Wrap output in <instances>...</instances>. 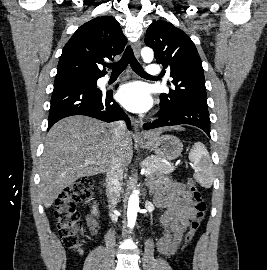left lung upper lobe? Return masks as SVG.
<instances>
[{"instance_id": "5c2ea615", "label": "left lung upper lobe", "mask_w": 267, "mask_h": 270, "mask_svg": "<svg viewBox=\"0 0 267 270\" xmlns=\"http://www.w3.org/2000/svg\"><path fill=\"white\" fill-rule=\"evenodd\" d=\"M145 44L154 50L157 63L170 70L173 78L167 84L174 89L160 95V106L194 104L207 107L202 62L190 37L173 24L159 20L147 29Z\"/></svg>"}]
</instances>
